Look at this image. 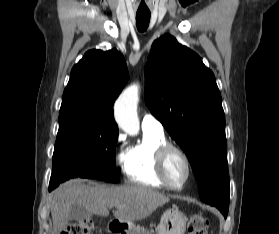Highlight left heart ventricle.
Instances as JSON below:
<instances>
[{"label":"left heart ventricle","instance_id":"1","mask_svg":"<svg viewBox=\"0 0 279 234\" xmlns=\"http://www.w3.org/2000/svg\"><path fill=\"white\" fill-rule=\"evenodd\" d=\"M186 172V165L182 157L178 153H170L166 163L169 181L174 185H180L186 177Z\"/></svg>","mask_w":279,"mask_h":234}]
</instances>
